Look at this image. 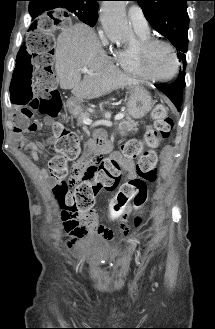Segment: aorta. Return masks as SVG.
I'll return each instance as SVG.
<instances>
[{
  "instance_id": "obj_1",
  "label": "aorta",
  "mask_w": 215,
  "mask_h": 329,
  "mask_svg": "<svg viewBox=\"0 0 215 329\" xmlns=\"http://www.w3.org/2000/svg\"><path fill=\"white\" fill-rule=\"evenodd\" d=\"M127 1H105L101 8V23L112 41L128 44L133 40L132 28L126 19Z\"/></svg>"
}]
</instances>
